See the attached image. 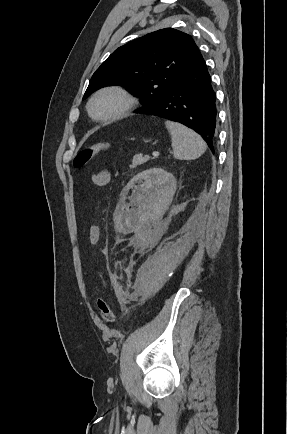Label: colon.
<instances>
[{"label": "colon", "instance_id": "colon-1", "mask_svg": "<svg viewBox=\"0 0 287 434\" xmlns=\"http://www.w3.org/2000/svg\"><path fill=\"white\" fill-rule=\"evenodd\" d=\"M110 147L108 142H98L82 148L74 158V165L78 168L84 167L95 156L106 151ZM99 315L106 323H112L115 320V313L112 305L105 299L100 298L97 301Z\"/></svg>", "mask_w": 287, "mask_h": 434}]
</instances>
